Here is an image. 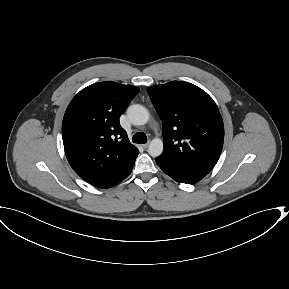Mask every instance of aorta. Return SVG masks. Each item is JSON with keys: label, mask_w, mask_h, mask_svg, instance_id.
<instances>
[{"label": "aorta", "mask_w": 289, "mask_h": 289, "mask_svg": "<svg viewBox=\"0 0 289 289\" xmlns=\"http://www.w3.org/2000/svg\"><path fill=\"white\" fill-rule=\"evenodd\" d=\"M127 115L133 125H144L149 120L147 109L139 104H134L128 107ZM163 152V141L160 138H154L148 147V153L152 157H158Z\"/></svg>", "instance_id": "762f6f07"}]
</instances>
